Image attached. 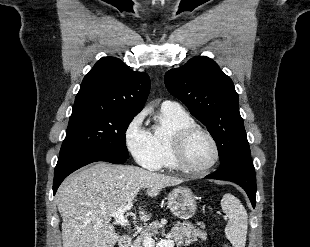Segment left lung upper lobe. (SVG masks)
Instances as JSON below:
<instances>
[{"instance_id":"left-lung-upper-lobe-1","label":"left lung upper lobe","mask_w":310,"mask_h":247,"mask_svg":"<svg viewBox=\"0 0 310 247\" xmlns=\"http://www.w3.org/2000/svg\"><path fill=\"white\" fill-rule=\"evenodd\" d=\"M164 80L169 92L208 128L217 144L220 167L250 157L238 94L232 80L212 59L192 58L166 72Z\"/></svg>"}]
</instances>
